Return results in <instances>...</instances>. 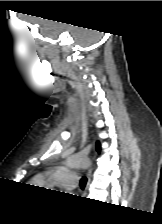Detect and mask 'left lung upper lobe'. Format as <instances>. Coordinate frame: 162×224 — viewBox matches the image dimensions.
Masks as SVG:
<instances>
[{"label":"left lung upper lobe","mask_w":162,"mask_h":224,"mask_svg":"<svg viewBox=\"0 0 162 224\" xmlns=\"http://www.w3.org/2000/svg\"><path fill=\"white\" fill-rule=\"evenodd\" d=\"M96 148H97V151L100 152V143H97Z\"/></svg>","instance_id":"left-lung-upper-lobe-1"}]
</instances>
